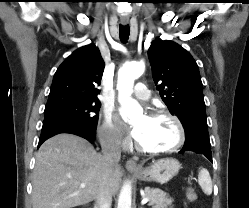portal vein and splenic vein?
I'll return each mask as SVG.
<instances>
[{"instance_id":"obj_1","label":"portal vein and splenic vein","mask_w":249,"mask_h":208,"mask_svg":"<svg viewBox=\"0 0 249 208\" xmlns=\"http://www.w3.org/2000/svg\"><path fill=\"white\" fill-rule=\"evenodd\" d=\"M80 187L81 188H84L85 187V184H80ZM149 201V199L147 197H144L141 201L142 204H146L147 202Z\"/></svg>"}]
</instances>
